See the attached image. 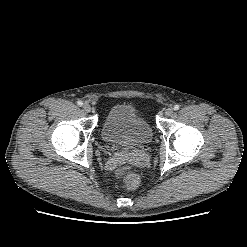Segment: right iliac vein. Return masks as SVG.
Here are the masks:
<instances>
[{
	"mask_svg": "<svg viewBox=\"0 0 247 247\" xmlns=\"http://www.w3.org/2000/svg\"><path fill=\"white\" fill-rule=\"evenodd\" d=\"M83 109H84L85 112L88 113V112L91 111V106H90L89 104H84V105H83Z\"/></svg>",
	"mask_w": 247,
	"mask_h": 247,
	"instance_id": "1",
	"label": "right iliac vein"
}]
</instances>
